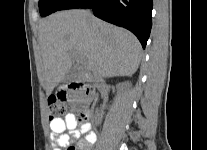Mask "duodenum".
Wrapping results in <instances>:
<instances>
[{
    "label": "duodenum",
    "instance_id": "1",
    "mask_svg": "<svg viewBox=\"0 0 207 150\" xmlns=\"http://www.w3.org/2000/svg\"><path fill=\"white\" fill-rule=\"evenodd\" d=\"M69 88L71 90H81L84 92V94L87 97H92L95 93V87L90 85V84H86L83 83L82 81L79 80H73L69 83ZM84 114V117L89 116L90 115V110L89 108H86L85 111H82Z\"/></svg>",
    "mask_w": 207,
    "mask_h": 150
}]
</instances>
